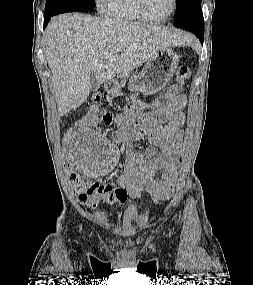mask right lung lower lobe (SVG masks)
I'll return each instance as SVG.
<instances>
[{"instance_id": "right-lung-lower-lobe-1", "label": "right lung lower lobe", "mask_w": 253, "mask_h": 285, "mask_svg": "<svg viewBox=\"0 0 253 285\" xmlns=\"http://www.w3.org/2000/svg\"><path fill=\"white\" fill-rule=\"evenodd\" d=\"M52 16L53 15H44V28L47 26Z\"/></svg>"}]
</instances>
